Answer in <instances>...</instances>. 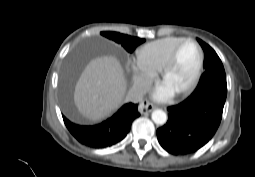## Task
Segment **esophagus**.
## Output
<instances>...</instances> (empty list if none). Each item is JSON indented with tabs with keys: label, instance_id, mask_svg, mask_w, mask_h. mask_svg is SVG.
I'll use <instances>...</instances> for the list:
<instances>
[{
	"label": "esophagus",
	"instance_id": "esophagus-1",
	"mask_svg": "<svg viewBox=\"0 0 255 177\" xmlns=\"http://www.w3.org/2000/svg\"><path fill=\"white\" fill-rule=\"evenodd\" d=\"M154 108L155 106L152 103H149L148 101H142L138 106V111L141 114H145L152 111Z\"/></svg>",
	"mask_w": 255,
	"mask_h": 177
}]
</instances>
